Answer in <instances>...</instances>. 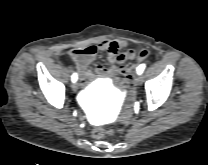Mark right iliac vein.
Here are the masks:
<instances>
[{
  "instance_id": "63e3f726",
  "label": "right iliac vein",
  "mask_w": 208,
  "mask_h": 165,
  "mask_svg": "<svg viewBox=\"0 0 208 165\" xmlns=\"http://www.w3.org/2000/svg\"><path fill=\"white\" fill-rule=\"evenodd\" d=\"M71 87L74 92L78 90V84L76 82H74Z\"/></svg>"
}]
</instances>
